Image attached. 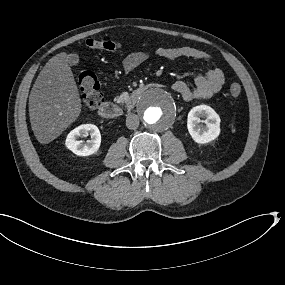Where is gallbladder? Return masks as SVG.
I'll return each mask as SVG.
<instances>
[{"mask_svg":"<svg viewBox=\"0 0 285 285\" xmlns=\"http://www.w3.org/2000/svg\"><path fill=\"white\" fill-rule=\"evenodd\" d=\"M68 62L72 66H76L80 63V57L76 53H70L68 57Z\"/></svg>","mask_w":285,"mask_h":285,"instance_id":"obj_1","label":"gallbladder"}]
</instances>
